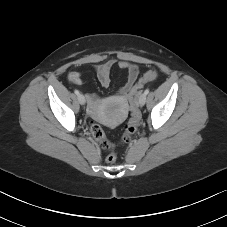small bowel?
<instances>
[{"label":"small bowel","mask_w":227,"mask_h":227,"mask_svg":"<svg viewBox=\"0 0 227 227\" xmlns=\"http://www.w3.org/2000/svg\"><path fill=\"white\" fill-rule=\"evenodd\" d=\"M117 65L121 70L127 73V79L124 85L118 90V96L125 98L131 91L139 75V68L136 64L128 61L117 62L114 59L107 60L103 63L94 66V70L100 85L107 88L111 84V71L113 67ZM68 80L75 85L82 84V77L79 72L71 71L68 74ZM89 107L91 110H95L98 107L99 99L96 94L89 95Z\"/></svg>","instance_id":"small-bowel-1"}]
</instances>
